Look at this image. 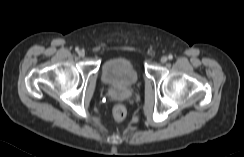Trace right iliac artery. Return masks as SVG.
<instances>
[{
    "instance_id": "1",
    "label": "right iliac artery",
    "mask_w": 244,
    "mask_h": 157,
    "mask_svg": "<svg viewBox=\"0 0 244 157\" xmlns=\"http://www.w3.org/2000/svg\"><path fill=\"white\" fill-rule=\"evenodd\" d=\"M75 50H76V52H79V48H76Z\"/></svg>"
}]
</instances>
